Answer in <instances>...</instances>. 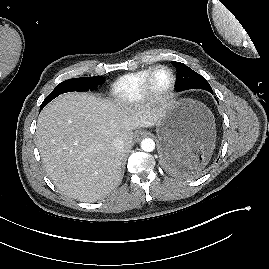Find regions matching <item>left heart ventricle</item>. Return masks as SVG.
<instances>
[{"label":"left heart ventricle","instance_id":"left-heart-ventricle-1","mask_svg":"<svg viewBox=\"0 0 269 269\" xmlns=\"http://www.w3.org/2000/svg\"><path fill=\"white\" fill-rule=\"evenodd\" d=\"M170 83V75L166 70L156 72L153 79V89L155 92H162Z\"/></svg>","mask_w":269,"mask_h":269}]
</instances>
